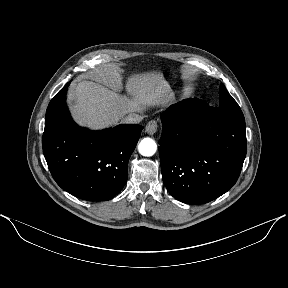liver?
I'll list each match as a JSON object with an SVG mask.
<instances>
[{
    "label": "liver",
    "instance_id": "liver-1",
    "mask_svg": "<svg viewBox=\"0 0 288 288\" xmlns=\"http://www.w3.org/2000/svg\"><path fill=\"white\" fill-rule=\"evenodd\" d=\"M126 90L131 98L94 82H79L72 94L71 112L78 122L100 129L116 124L126 114L139 113L148 106L166 102L169 93L161 74L129 77Z\"/></svg>",
    "mask_w": 288,
    "mask_h": 288
}]
</instances>
